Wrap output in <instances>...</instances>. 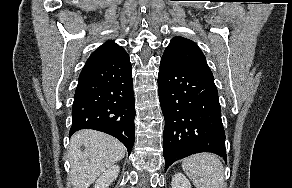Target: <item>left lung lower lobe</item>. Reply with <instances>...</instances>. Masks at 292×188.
<instances>
[{"label": "left lung lower lobe", "mask_w": 292, "mask_h": 188, "mask_svg": "<svg viewBox=\"0 0 292 188\" xmlns=\"http://www.w3.org/2000/svg\"><path fill=\"white\" fill-rule=\"evenodd\" d=\"M158 87L165 117V169L199 152H212L226 159L225 132L214 78L162 57Z\"/></svg>", "instance_id": "left-lung-lower-lobe-1"}]
</instances>
